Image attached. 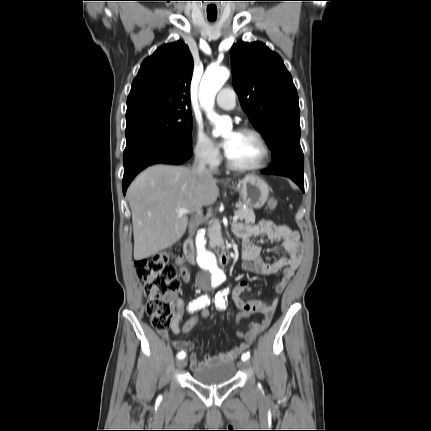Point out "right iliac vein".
Wrapping results in <instances>:
<instances>
[{"instance_id": "obj_1", "label": "right iliac vein", "mask_w": 431, "mask_h": 431, "mask_svg": "<svg viewBox=\"0 0 431 431\" xmlns=\"http://www.w3.org/2000/svg\"><path fill=\"white\" fill-rule=\"evenodd\" d=\"M176 365H177V368L181 370L186 366V360H178Z\"/></svg>"}]
</instances>
